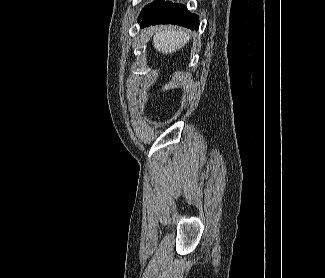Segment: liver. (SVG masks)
I'll list each match as a JSON object with an SVG mask.
<instances>
[{"mask_svg":"<svg viewBox=\"0 0 325 278\" xmlns=\"http://www.w3.org/2000/svg\"><path fill=\"white\" fill-rule=\"evenodd\" d=\"M190 40L188 31L174 27L170 29H154L153 44L157 51L163 54L173 53L185 46Z\"/></svg>","mask_w":325,"mask_h":278,"instance_id":"1","label":"liver"}]
</instances>
